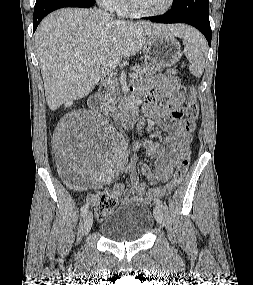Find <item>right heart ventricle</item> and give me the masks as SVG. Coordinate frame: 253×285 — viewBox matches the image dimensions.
Listing matches in <instances>:
<instances>
[{"instance_id":"1","label":"right heart ventricle","mask_w":253,"mask_h":285,"mask_svg":"<svg viewBox=\"0 0 253 285\" xmlns=\"http://www.w3.org/2000/svg\"><path fill=\"white\" fill-rule=\"evenodd\" d=\"M117 12L121 16H127L130 14V12L127 8L126 0H122L120 6L117 9Z\"/></svg>"}]
</instances>
